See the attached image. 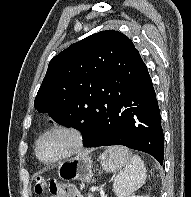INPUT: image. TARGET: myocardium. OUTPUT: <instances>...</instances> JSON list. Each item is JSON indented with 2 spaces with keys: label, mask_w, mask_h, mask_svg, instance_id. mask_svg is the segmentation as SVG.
<instances>
[{
  "label": "myocardium",
  "mask_w": 191,
  "mask_h": 197,
  "mask_svg": "<svg viewBox=\"0 0 191 197\" xmlns=\"http://www.w3.org/2000/svg\"><path fill=\"white\" fill-rule=\"evenodd\" d=\"M52 133L66 134L70 139V146L60 156L51 160H45L40 155V143L46 136ZM84 144L85 136L81 128L70 123H55L45 128L37 137L35 141V155L41 163L45 165H53L62 162L77 154L84 147Z\"/></svg>",
  "instance_id": "f54148a6"
}]
</instances>
